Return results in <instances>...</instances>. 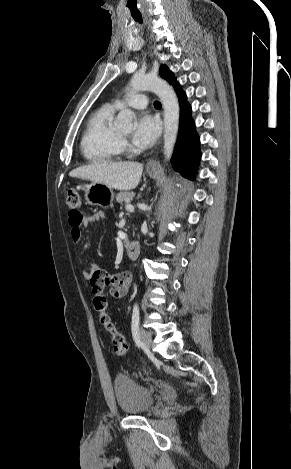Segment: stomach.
Here are the masks:
<instances>
[{
    "mask_svg": "<svg viewBox=\"0 0 291 469\" xmlns=\"http://www.w3.org/2000/svg\"><path fill=\"white\" fill-rule=\"evenodd\" d=\"M150 177L156 178L159 174L158 169L147 170ZM86 202L93 206H110L114 200V192L111 187L100 182H92L85 186Z\"/></svg>",
    "mask_w": 291,
    "mask_h": 469,
    "instance_id": "obj_1",
    "label": "stomach"
}]
</instances>
